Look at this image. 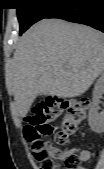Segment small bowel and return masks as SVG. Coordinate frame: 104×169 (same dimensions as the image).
I'll return each instance as SVG.
<instances>
[{"mask_svg": "<svg viewBox=\"0 0 104 169\" xmlns=\"http://www.w3.org/2000/svg\"><path fill=\"white\" fill-rule=\"evenodd\" d=\"M66 153H67V151L62 152V153H61V158H62L63 155L66 154ZM79 156L81 157V160H82L83 162H86V161H88V160L90 159L91 154H90V152H89L88 150H81V151H79ZM80 169H84V168L81 167Z\"/></svg>", "mask_w": 104, "mask_h": 169, "instance_id": "small-bowel-1", "label": "small bowel"}]
</instances>
